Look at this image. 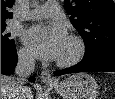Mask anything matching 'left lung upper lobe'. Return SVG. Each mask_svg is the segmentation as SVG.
I'll return each mask as SVG.
<instances>
[{
    "label": "left lung upper lobe",
    "instance_id": "obj_1",
    "mask_svg": "<svg viewBox=\"0 0 115 99\" xmlns=\"http://www.w3.org/2000/svg\"><path fill=\"white\" fill-rule=\"evenodd\" d=\"M67 14L85 43L84 58L115 51L113 0H64Z\"/></svg>",
    "mask_w": 115,
    "mask_h": 99
}]
</instances>
